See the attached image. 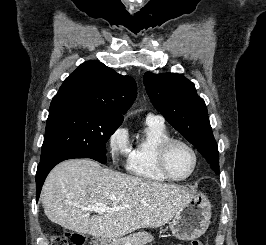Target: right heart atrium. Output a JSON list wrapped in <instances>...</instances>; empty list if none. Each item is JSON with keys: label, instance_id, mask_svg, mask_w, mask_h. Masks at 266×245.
Segmentation results:
<instances>
[{"label": "right heart atrium", "instance_id": "right-heart-atrium-1", "mask_svg": "<svg viewBox=\"0 0 266 245\" xmlns=\"http://www.w3.org/2000/svg\"><path fill=\"white\" fill-rule=\"evenodd\" d=\"M106 147L112 165L128 162L132 151L128 129L123 125L115 127L107 136Z\"/></svg>", "mask_w": 266, "mask_h": 245}]
</instances>
